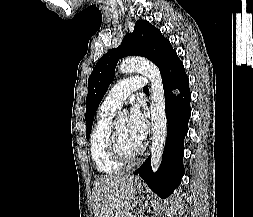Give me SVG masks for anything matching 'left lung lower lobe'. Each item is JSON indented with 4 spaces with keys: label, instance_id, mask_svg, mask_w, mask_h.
<instances>
[{
    "label": "left lung lower lobe",
    "instance_id": "1",
    "mask_svg": "<svg viewBox=\"0 0 253 217\" xmlns=\"http://www.w3.org/2000/svg\"><path fill=\"white\" fill-rule=\"evenodd\" d=\"M168 121L167 138L159 170L154 174L150 157L134 174L144 179L160 197L169 196L184 175V137L190 118L191 93L183 63L175 55L161 70Z\"/></svg>",
    "mask_w": 253,
    "mask_h": 217
}]
</instances>
